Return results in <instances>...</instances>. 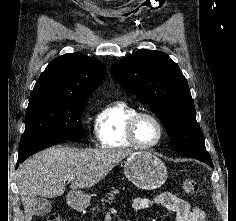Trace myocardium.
Wrapping results in <instances>:
<instances>
[{
    "mask_svg": "<svg viewBox=\"0 0 236 221\" xmlns=\"http://www.w3.org/2000/svg\"><path fill=\"white\" fill-rule=\"evenodd\" d=\"M144 117L153 120L155 124L157 125L158 132H159L157 140L154 143L149 144V145L141 144L137 140V137H136V126L139 120ZM164 134H165V129H164L163 123L155 114L151 112H136L130 117L127 123V129H126L127 140L133 147L138 148V149L149 150V149L157 147L161 143L164 137Z\"/></svg>",
    "mask_w": 236,
    "mask_h": 221,
    "instance_id": "obj_1",
    "label": "myocardium"
}]
</instances>
